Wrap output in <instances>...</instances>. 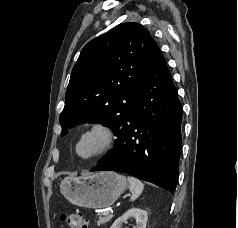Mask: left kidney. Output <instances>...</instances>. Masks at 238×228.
I'll return each mask as SVG.
<instances>
[{
    "label": "left kidney",
    "mask_w": 238,
    "mask_h": 228,
    "mask_svg": "<svg viewBox=\"0 0 238 228\" xmlns=\"http://www.w3.org/2000/svg\"><path fill=\"white\" fill-rule=\"evenodd\" d=\"M128 219H134L136 221L134 228H146L148 214L142 209H129L122 216L117 218L110 228H122L123 223H126Z\"/></svg>",
    "instance_id": "left-kidney-1"
}]
</instances>
